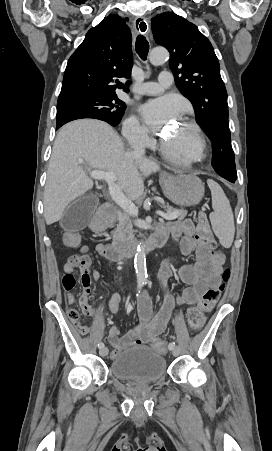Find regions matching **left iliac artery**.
I'll use <instances>...</instances> for the list:
<instances>
[{
  "instance_id": "1",
  "label": "left iliac artery",
  "mask_w": 272,
  "mask_h": 451,
  "mask_svg": "<svg viewBox=\"0 0 272 451\" xmlns=\"http://www.w3.org/2000/svg\"><path fill=\"white\" fill-rule=\"evenodd\" d=\"M174 347H175V343L174 342L169 343L168 348L170 350L174 349Z\"/></svg>"
}]
</instances>
